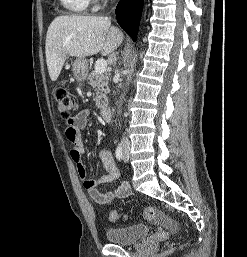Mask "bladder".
<instances>
[{
  "label": "bladder",
  "mask_w": 247,
  "mask_h": 257,
  "mask_svg": "<svg viewBox=\"0 0 247 257\" xmlns=\"http://www.w3.org/2000/svg\"><path fill=\"white\" fill-rule=\"evenodd\" d=\"M149 227L136 224L125 227H109L106 229V238L109 242L118 245H131L149 234Z\"/></svg>",
  "instance_id": "obj_1"
}]
</instances>
